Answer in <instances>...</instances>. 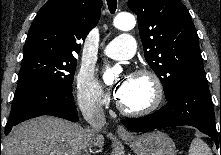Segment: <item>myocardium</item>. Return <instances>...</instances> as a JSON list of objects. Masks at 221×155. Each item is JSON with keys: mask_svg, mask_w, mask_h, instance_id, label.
<instances>
[{"mask_svg": "<svg viewBox=\"0 0 221 155\" xmlns=\"http://www.w3.org/2000/svg\"><path fill=\"white\" fill-rule=\"evenodd\" d=\"M133 76H144L151 80L154 87V97L152 102L145 108L132 110L125 107L120 100L117 101V107L123 114L133 117L146 116L158 109L164 97V88L159 76L150 69H138L134 71Z\"/></svg>", "mask_w": 221, "mask_h": 155, "instance_id": "1", "label": "myocardium"}]
</instances>
